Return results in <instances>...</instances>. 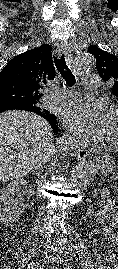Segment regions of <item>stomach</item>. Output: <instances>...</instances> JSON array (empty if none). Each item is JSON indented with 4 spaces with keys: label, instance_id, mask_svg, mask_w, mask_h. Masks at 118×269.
Masks as SVG:
<instances>
[{
    "label": "stomach",
    "instance_id": "stomach-1",
    "mask_svg": "<svg viewBox=\"0 0 118 269\" xmlns=\"http://www.w3.org/2000/svg\"><path fill=\"white\" fill-rule=\"evenodd\" d=\"M114 166H115V162L113 158L109 156H103L97 164V168L102 173H105V174L112 172L114 169Z\"/></svg>",
    "mask_w": 118,
    "mask_h": 269
}]
</instances>
